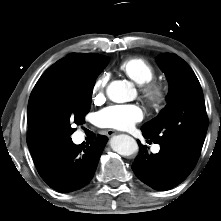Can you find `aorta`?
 <instances>
[{
  "mask_svg": "<svg viewBox=\"0 0 221 221\" xmlns=\"http://www.w3.org/2000/svg\"><path fill=\"white\" fill-rule=\"evenodd\" d=\"M135 95V89L132 84L124 81H113L107 87L108 98L116 103L130 101ZM112 149L120 155L129 156L138 151L137 142L128 135H117L111 139Z\"/></svg>",
  "mask_w": 221,
  "mask_h": 221,
  "instance_id": "762f6f07",
  "label": "aorta"
}]
</instances>
